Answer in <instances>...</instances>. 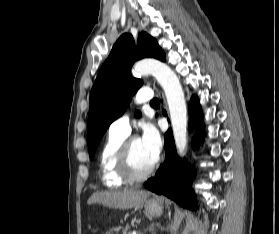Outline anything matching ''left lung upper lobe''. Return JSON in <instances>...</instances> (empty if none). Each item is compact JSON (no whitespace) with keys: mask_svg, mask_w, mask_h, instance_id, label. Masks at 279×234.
<instances>
[{"mask_svg":"<svg viewBox=\"0 0 279 234\" xmlns=\"http://www.w3.org/2000/svg\"><path fill=\"white\" fill-rule=\"evenodd\" d=\"M142 58L166 60L157 41L147 33L138 35L137 47L132 35L123 34L98 73L90 94L87 128L91 160L109 125L125 112L132 95L142 86V80L131 76L133 63ZM135 116L140 117L141 113L137 111Z\"/></svg>","mask_w":279,"mask_h":234,"instance_id":"obj_1","label":"left lung upper lobe"}]
</instances>
